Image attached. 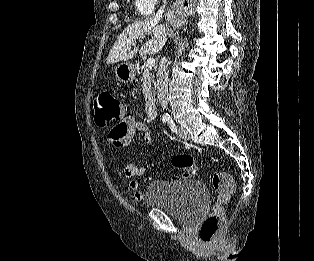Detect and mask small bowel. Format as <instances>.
Returning a JSON list of instances; mask_svg holds the SVG:
<instances>
[{"label": "small bowel", "mask_w": 314, "mask_h": 261, "mask_svg": "<svg viewBox=\"0 0 314 261\" xmlns=\"http://www.w3.org/2000/svg\"><path fill=\"white\" fill-rule=\"evenodd\" d=\"M124 129H112L110 133H106V140H111L112 143L117 147L127 146L135 133H140L143 137V140L146 145H151L153 140L149 130V127L137 121L133 117H128L120 125ZM124 175L129 179L128 187L129 190L133 193V198L136 201H140L143 198V193L139 190V183L137 178L143 176H149L150 171L146 167L138 166L132 162H128L123 167Z\"/></svg>", "instance_id": "small-bowel-1"}]
</instances>
